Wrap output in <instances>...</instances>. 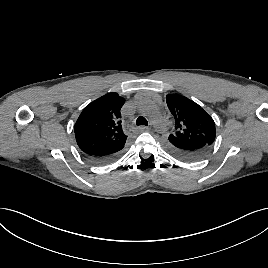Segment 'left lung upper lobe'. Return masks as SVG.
Here are the masks:
<instances>
[{"label": "left lung upper lobe", "instance_id": "left-lung-upper-lobe-1", "mask_svg": "<svg viewBox=\"0 0 268 268\" xmlns=\"http://www.w3.org/2000/svg\"><path fill=\"white\" fill-rule=\"evenodd\" d=\"M166 101L175 119V132L168 140H201L212 146L216 138L215 123L205 110L181 95L168 94Z\"/></svg>", "mask_w": 268, "mask_h": 268}]
</instances>
